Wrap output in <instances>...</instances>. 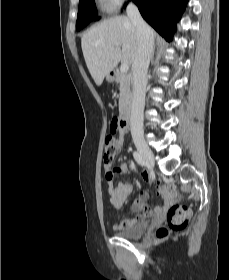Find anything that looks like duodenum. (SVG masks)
I'll return each instance as SVG.
<instances>
[{
	"instance_id": "duodenum-1",
	"label": "duodenum",
	"mask_w": 229,
	"mask_h": 280,
	"mask_svg": "<svg viewBox=\"0 0 229 280\" xmlns=\"http://www.w3.org/2000/svg\"><path fill=\"white\" fill-rule=\"evenodd\" d=\"M114 78L118 80L120 78V74L118 72H114ZM131 111H132V105L128 104L122 111L119 121H120V127L123 130H128L130 123H131Z\"/></svg>"
}]
</instances>
